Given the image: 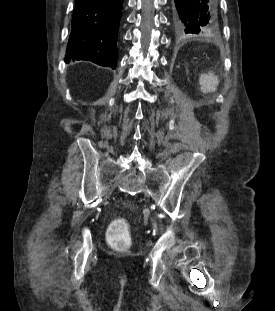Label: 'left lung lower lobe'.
Listing matches in <instances>:
<instances>
[{"mask_svg": "<svg viewBox=\"0 0 275 311\" xmlns=\"http://www.w3.org/2000/svg\"><path fill=\"white\" fill-rule=\"evenodd\" d=\"M173 24L178 37L218 30L216 0H173Z\"/></svg>", "mask_w": 275, "mask_h": 311, "instance_id": "0a47b994", "label": "left lung lower lobe"}]
</instances>
